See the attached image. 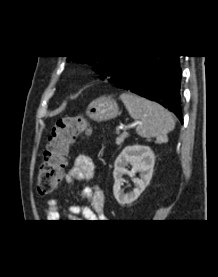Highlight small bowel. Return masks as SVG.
<instances>
[{
	"label": "small bowel",
	"instance_id": "small-bowel-1",
	"mask_svg": "<svg viewBox=\"0 0 218 277\" xmlns=\"http://www.w3.org/2000/svg\"><path fill=\"white\" fill-rule=\"evenodd\" d=\"M94 172L95 167L92 159L87 155H79L66 174V181L82 184V197L89 201V206H71V217L82 216L86 220H101L104 218V194L98 186L87 184L88 181L92 180ZM45 215L51 222L60 220L59 202L56 198L48 200Z\"/></svg>",
	"mask_w": 218,
	"mask_h": 277
}]
</instances>
